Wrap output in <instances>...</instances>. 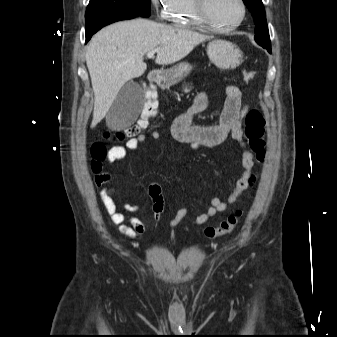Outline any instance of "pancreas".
Instances as JSON below:
<instances>
[{"label": "pancreas", "mask_w": 337, "mask_h": 337, "mask_svg": "<svg viewBox=\"0 0 337 337\" xmlns=\"http://www.w3.org/2000/svg\"><path fill=\"white\" fill-rule=\"evenodd\" d=\"M188 91H189V89H187V87H185L184 92H188Z\"/></svg>", "instance_id": "obj_1"}]
</instances>
